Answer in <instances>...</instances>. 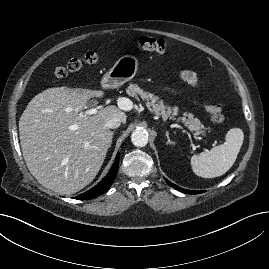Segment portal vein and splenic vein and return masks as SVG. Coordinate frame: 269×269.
Here are the masks:
<instances>
[{
  "mask_svg": "<svg viewBox=\"0 0 269 269\" xmlns=\"http://www.w3.org/2000/svg\"><path fill=\"white\" fill-rule=\"evenodd\" d=\"M98 112V107H92L91 109H88L86 111H83L82 114H85V115H94Z\"/></svg>",
  "mask_w": 269,
  "mask_h": 269,
  "instance_id": "1",
  "label": "portal vein and splenic vein"
}]
</instances>
